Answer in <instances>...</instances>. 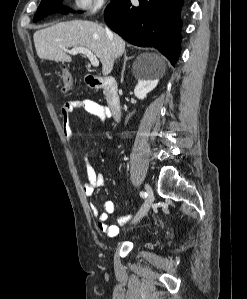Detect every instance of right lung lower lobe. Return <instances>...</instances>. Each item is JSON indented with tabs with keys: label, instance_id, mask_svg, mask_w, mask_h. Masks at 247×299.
<instances>
[{
	"label": "right lung lower lobe",
	"instance_id": "1",
	"mask_svg": "<svg viewBox=\"0 0 247 299\" xmlns=\"http://www.w3.org/2000/svg\"><path fill=\"white\" fill-rule=\"evenodd\" d=\"M184 0H114L105 10V22L122 38L141 47H155L172 65L181 47V11Z\"/></svg>",
	"mask_w": 247,
	"mask_h": 299
}]
</instances>
